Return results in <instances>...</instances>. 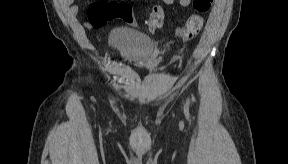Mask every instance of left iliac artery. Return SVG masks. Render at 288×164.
Wrapping results in <instances>:
<instances>
[{
    "label": "left iliac artery",
    "mask_w": 288,
    "mask_h": 164,
    "mask_svg": "<svg viewBox=\"0 0 288 164\" xmlns=\"http://www.w3.org/2000/svg\"><path fill=\"white\" fill-rule=\"evenodd\" d=\"M189 104H190V100L188 98L187 101H186V106H188Z\"/></svg>",
    "instance_id": "left-iliac-artery-1"
}]
</instances>
